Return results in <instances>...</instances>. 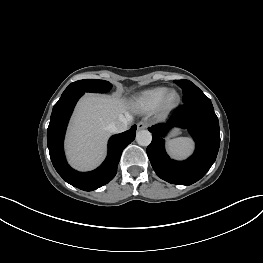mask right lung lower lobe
<instances>
[{"instance_id":"98d812e1","label":"right lung lower lobe","mask_w":263,"mask_h":263,"mask_svg":"<svg viewBox=\"0 0 263 263\" xmlns=\"http://www.w3.org/2000/svg\"><path fill=\"white\" fill-rule=\"evenodd\" d=\"M83 94L76 92L61 97L54 105L47 130V144L51 161L59 175L72 186L85 191H92L114 178L123 149L135 138L136 125L132 126L130 130L114 135L109 139L108 155L100 167L91 172L75 171L66 161L63 140L74 106Z\"/></svg>"}]
</instances>
